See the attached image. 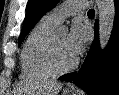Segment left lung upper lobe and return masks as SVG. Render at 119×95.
<instances>
[{
    "instance_id": "obj_1",
    "label": "left lung upper lobe",
    "mask_w": 119,
    "mask_h": 95,
    "mask_svg": "<svg viewBox=\"0 0 119 95\" xmlns=\"http://www.w3.org/2000/svg\"><path fill=\"white\" fill-rule=\"evenodd\" d=\"M59 0H29L26 8V16L23 28L19 36L18 45L20 46L23 39L39 21V19L49 10L58 4Z\"/></svg>"
}]
</instances>
